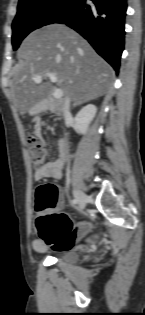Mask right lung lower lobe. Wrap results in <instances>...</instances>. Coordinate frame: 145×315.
<instances>
[{
    "instance_id": "obj_1",
    "label": "right lung lower lobe",
    "mask_w": 145,
    "mask_h": 315,
    "mask_svg": "<svg viewBox=\"0 0 145 315\" xmlns=\"http://www.w3.org/2000/svg\"><path fill=\"white\" fill-rule=\"evenodd\" d=\"M73 0L54 23H65L80 33L118 73L124 50L127 0Z\"/></svg>"
}]
</instances>
